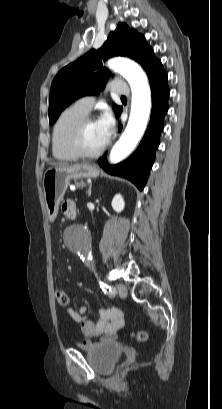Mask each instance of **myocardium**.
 <instances>
[{"label": "myocardium", "instance_id": "obj_1", "mask_svg": "<svg viewBox=\"0 0 222 409\" xmlns=\"http://www.w3.org/2000/svg\"><path fill=\"white\" fill-rule=\"evenodd\" d=\"M95 121L91 116H85L82 118L73 128L70 138H69V146L71 150L75 153L77 157L80 158H96L100 156L106 149L107 143H105L100 149L94 152H88L84 149L82 145V135L86 128V126L90 123Z\"/></svg>", "mask_w": 222, "mask_h": 409}]
</instances>
